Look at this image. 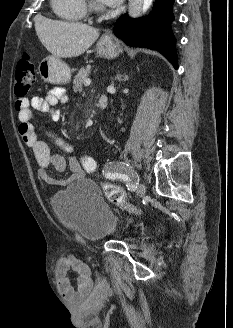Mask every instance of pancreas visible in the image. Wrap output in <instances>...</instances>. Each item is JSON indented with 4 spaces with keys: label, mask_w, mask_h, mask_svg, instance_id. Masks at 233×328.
<instances>
[{
    "label": "pancreas",
    "mask_w": 233,
    "mask_h": 328,
    "mask_svg": "<svg viewBox=\"0 0 233 328\" xmlns=\"http://www.w3.org/2000/svg\"><path fill=\"white\" fill-rule=\"evenodd\" d=\"M90 73V66L82 67L77 75L75 76L73 80V90L75 92L80 91L82 89L83 84L85 83V80L88 78Z\"/></svg>",
    "instance_id": "pancreas-1"
}]
</instances>
